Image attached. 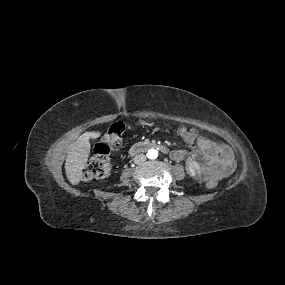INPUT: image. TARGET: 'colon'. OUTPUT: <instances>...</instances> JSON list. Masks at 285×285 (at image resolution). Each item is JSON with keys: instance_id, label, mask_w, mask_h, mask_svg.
Here are the masks:
<instances>
[{"instance_id": "1", "label": "colon", "mask_w": 285, "mask_h": 285, "mask_svg": "<svg viewBox=\"0 0 285 285\" xmlns=\"http://www.w3.org/2000/svg\"><path fill=\"white\" fill-rule=\"evenodd\" d=\"M124 130V124L121 122H115L109 127L102 141L95 146L93 155L82 170L84 180L104 179L109 176L111 172L110 150L120 147ZM178 134L187 143L194 142L198 137L196 130L187 126L180 127ZM206 185L208 188H215L217 181L211 179Z\"/></svg>"}]
</instances>
